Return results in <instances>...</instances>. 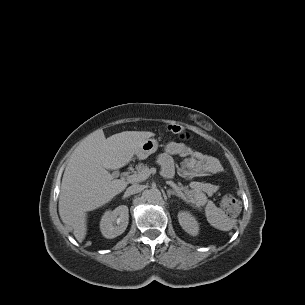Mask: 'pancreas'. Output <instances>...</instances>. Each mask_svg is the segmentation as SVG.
Segmentation results:
<instances>
[{"label": "pancreas", "instance_id": "obj_1", "mask_svg": "<svg viewBox=\"0 0 305 305\" xmlns=\"http://www.w3.org/2000/svg\"><path fill=\"white\" fill-rule=\"evenodd\" d=\"M136 171H134V174H138L144 169H148L147 165H144L143 163H139L135 167ZM134 182V181H132ZM169 184L174 187V189L178 192V194L185 199L186 202L192 203L196 205L197 207L204 206L207 203V196L203 192V190H206L207 187L205 184L199 183V182H193L190 187L183 186L181 183H178L177 185L174 184V182L170 181Z\"/></svg>", "mask_w": 305, "mask_h": 305}]
</instances>
